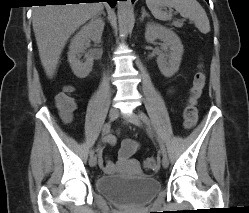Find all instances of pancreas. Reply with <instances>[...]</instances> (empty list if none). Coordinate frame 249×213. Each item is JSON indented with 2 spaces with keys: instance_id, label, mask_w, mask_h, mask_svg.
Here are the masks:
<instances>
[{
  "instance_id": "obj_1",
  "label": "pancreas",
  "mask_w": 249,
  "mask_h": 213,
  "mask_svg": "<svg viewBox=\"0 0 249 213\" xmlns=\"http://www.w3.org/2000/svg\"><path fill=\"white\" fill-rule=\"evenodd\" d=\"M172 25L175 26V27L181 28L183 26V22H181V21H174Z\"/></svg>"
}]
</instances>
